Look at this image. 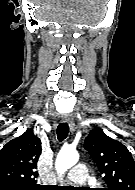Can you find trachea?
Masks as SVG:
<instances>
[{
  "label": "trachea",
  "mask_w": 135,
  "mask_h": 190,
  "mask_svg": "<svg viewBox=\"0 0 135 190\" xmlns=\"http://www.w3.org/2000/svg\"><path fill=\"white\" fill-rule=\"evenodd\" d=\"M57 137L60 142L67 138L69 133V126L67 123H61L57 127Z\"/></svg>",
  "instance_id": "trachea-1"
}]
</instances>
